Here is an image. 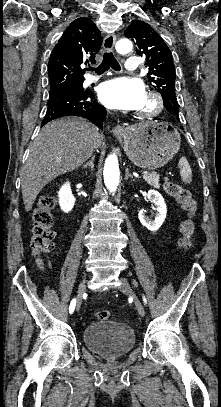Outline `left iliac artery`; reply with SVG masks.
<instances>
[{
  "label": "left iliac artery",
  "mask_w": 221,
  "mask_h": 407,
  "mask_svg": "<svg viewBox=\"0 0 221 407\" xmlns=\"http://www.w3.org/2000/svg\"><path fill=\"white\" fill-rule=\"evenodd\" d=\"M143 301L146 303V299H145V297H143Z\"/></svg>",
  "instance_id": "obj_1"
}]
</instances>
